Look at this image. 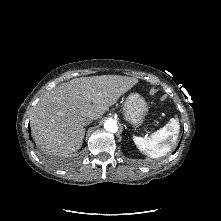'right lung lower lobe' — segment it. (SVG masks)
Returning a JSON list of instances; mask_svg holds the SVG:
<instances>
[{"instance_id": "1", "label": "right lung lower lobe", "mask_w": 221, "mask_h": 221, "mask_svg": "<svg viewBox=\"0 0 221 221\" xmlns=\"http://www.w3.org/2000/svg\"><path fill=\"white\" fill-rule=\"evenodd\" d=\"M28 132L30 133V127L28 126ZM30 140H31V137H30Z\"/></svg>"}]
</instances>
